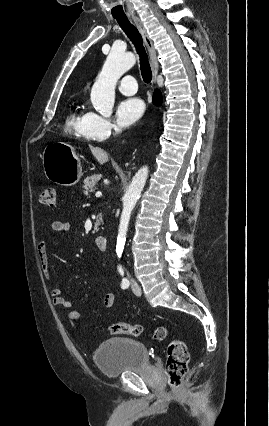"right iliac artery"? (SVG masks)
Listing matches in <instances>:
<instances>
[{
    "label": "right iliac artery",
    "mask_w": 269,
    "mask_h": 426,
    "mask_svg": "<svg viewBox=\"0 0 269 426\" xmlns=\"http://www.w3.org/2000/svg\"><path fill=\"white\" fill-rule=\"evenodd\" d=\"M119 272L122 276L124 275V272L121 269H119ZM129 285H130L129 280L127 278H123L121 283L122 289H127Z\"/></svg>",
    "instance_id": "right-iliac-artery-1"
}]
</instances>
